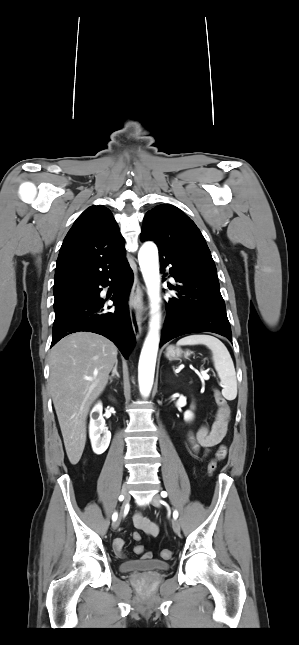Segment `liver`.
I'll use <instances>...</instances> for the list:
<instances>
[{
    "mask_svg": "<svg viewBox=\"0 0 299 645\" xmlns=\"http://www.w3.org/2000/svg\"><path fill=\"white\" fill-rule=\"evenodd\" d=\"M116 361V346L91 332L68 335L50 352L49 389L73 465L79 462L85 447L90 407L104 391Z\"/></svg>",
    "mask_w": 299,
    "mask_h": 645,
    "instance_id": "1",
    "label": "liver"
}]
</instances>
